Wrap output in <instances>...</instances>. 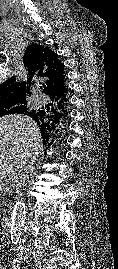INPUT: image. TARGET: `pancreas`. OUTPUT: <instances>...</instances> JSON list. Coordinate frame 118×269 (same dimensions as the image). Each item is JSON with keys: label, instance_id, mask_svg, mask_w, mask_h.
Instances as JSON below:
<instances>
[{"label": "pancreas", "instance_id": "cf45deb5", "mask_svg": "<svg viewBox=\"0 0 118 269\" xmlns=\"http://www.w3.org/2000/svg\"><path fill=\"white\" fill-rule=\"evenodd\" d=\"M0 190L4 192H11L13 190V183L9 182L8 179H0ZM5 207H8V205L5 204Z\"/></svg>", "mask_w": 118, "mask_h": 269}]
</instances>
